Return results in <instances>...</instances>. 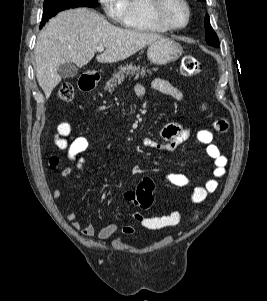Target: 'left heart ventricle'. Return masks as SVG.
Here are the masks:
<instances>
[{
    "label": "left heart ventricle",
    "mask_w": 267,
    "mask_h": 301,
    "mask_svg": "<svg viewBox=\"0 0 267 301\" xmlns=\"http://www.w3.org/2000/svg\"><path fill=\"white\" fill-rule=\"evenodd\" d=\"M165 15L176 25H181L186 20V11L180 0H168L165 8Z\"/></svg>",
    "instance_id": "b2bd125f"
}]
</instances>
